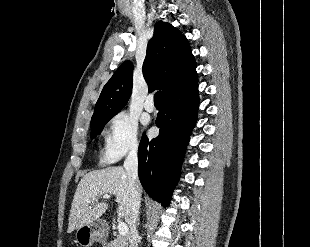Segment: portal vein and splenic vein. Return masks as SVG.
Returning <instances> with one entry per match:
<instances>
[{"mask_svg": "<svg viewBox=\"0 0 310 247\" xmlns=\"http://www.w3.org/2000/svg\"><path fill=\"white\" fill-rule=\"evenodd\" d=\"M102 198L103 199H109L110 196L108 194H105V195L102 196ZM118 232H119L120 236H122V237L126 236L128 234V226L125 223L120 222L118 224Z\"/></svg>", "mask_w": 310, "mask_h": 247, "instance_id": "portal-vein-and-splenic-vein-1", "label": "portal vein and splenic vein"}]
</instances>
